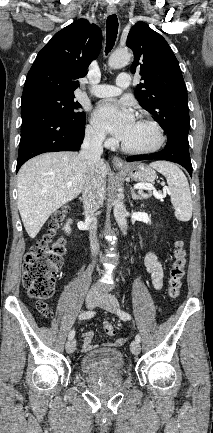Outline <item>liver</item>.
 I'll return each instance as SVG.
<instances>
[{
	"instance_id": "obj_1",
	"label": "liver",
	"mask_w": 213,
	"mask_h": 433,
	"mask_svg": "<svg viewBox=\"0 0 213 433\" xmlns=\"http://www.w3.org/2000/svg\"><path fill=\"white\" fill-rule=\"evenodd\" d=\"M103 160L99 173L105 179ZM87 162L75 152H53L27 161L18 172V209L30 238H35L57 209L76 198L84 188ZM71 183V186H67Z\"/></svg>"
}]
</instances>
